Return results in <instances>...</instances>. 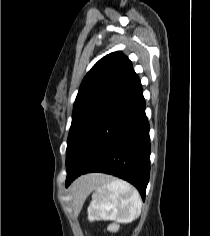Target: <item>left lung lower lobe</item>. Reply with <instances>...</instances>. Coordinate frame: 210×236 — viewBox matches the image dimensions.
<instances>
[{"label": "left lung lower lobe", "instance_id": "1", "mask_svg": "<svg viewBox=\"0 0 210 236\" xmlns=\"http://www.w3.org/2000/svg\"><path fill=\"white\" fill-rule=\"evenodd\" d=\"M66 186L88 172L118 176L145 199L150 174L149 124L139 78L81 132L66 157Z\"/></svg>", "mask_w": 210, "mask_h": 236}]
</instances>
